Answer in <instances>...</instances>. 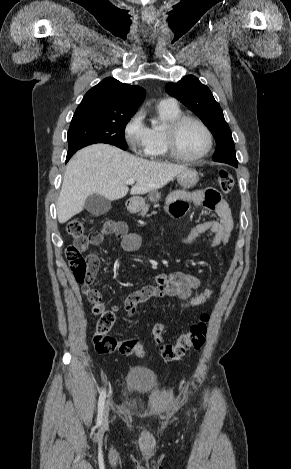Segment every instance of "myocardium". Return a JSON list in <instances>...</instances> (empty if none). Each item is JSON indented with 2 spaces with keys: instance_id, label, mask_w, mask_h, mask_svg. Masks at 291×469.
<instances>
[{
  "instance_id": "obj_1",
  "label": "myocardium",
  "mask_w": 291,
  "mask_h": 469,
  "mask_svg": "<svg viewBox=\"0 0 291 469\" xmlns=\"http://www.w3.org/2000/svg\"><path fill=\"white\" fill-rule=\"evenodd\" d=\"M194 122L201 127L204 131L207 139L206 147L199 155L195 157H185L181 155L177 149L176 138L177 133L181 126L186 122ZM164 142L167 149L168 155L180 162L195 163L204 159L211 151L213 147V134L209 127L199 118L192 115H180L171 122H169L164 128Z\"/></svg>"
}]
</instances>
